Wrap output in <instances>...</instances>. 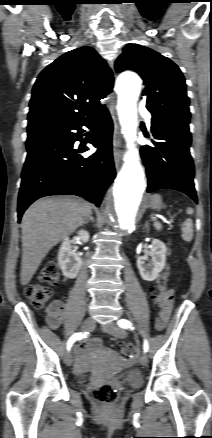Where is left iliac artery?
Returning a JSON list of instances; mask_svg holds the SVG:
<instances>
[{
	"instance_id": "obj_1",
	"label": "left iliac artery",
	"mask_w": 212,
	"mask_h": 438,
	"mask_svg": "<svg viewBox=\"0 0 212 438\" xmlns=\"http://www.w3.org/2000/svg\"><path fill=\"white\" fill-rule=\"evenodd\" d=\"M118 325H119V327H121L123 329H131V330L134 329V327L132 326V323L126 319L119 320ZM143 350H144V353H146L149 350V344H148V341L146 339L144 340V343H143Z\"/></svg>"
}]
</instances>
